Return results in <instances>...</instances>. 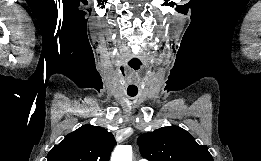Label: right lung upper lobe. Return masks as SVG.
Segmentation results:
<instances>
[{"instance_id": "obj_1", "label": "right lung upper lobe", "mask_w": 261, "mask_h": 161, "mask_svg": "<svg viewBox=\"0 0 261 161\" xmlns=\"http://www.w3.org/2000/svg\"><path fill=\"white\" fill-rule=\"evenodd\" d=\"M116 141L106 129L83 125L69 133L48 154V161H109Z\"/></svg>"}]
</instances>
